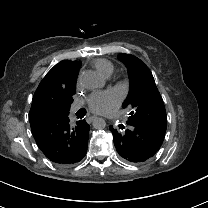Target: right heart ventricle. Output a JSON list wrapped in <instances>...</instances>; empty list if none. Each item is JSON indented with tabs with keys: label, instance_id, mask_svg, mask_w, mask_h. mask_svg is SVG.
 Instances as JSON below:
<instances>
[{
	"label": "right heart ventricle",
	"instance_id": "obj_1",
	"mask_svg": "<svg viewBox=\"0 0 208 208\" xmlns=\"http://www.w3.org/2000/svg\"><path fill=\"white\" fill-rule=\"evenodd\" d=\"M94 67L106 78H109L114 73L113 64L106 59H97L93 63Z\"/></svg>",
	"mask_w": 208,
	"mask_h": 208
}]
</instances>
